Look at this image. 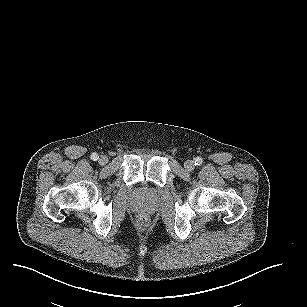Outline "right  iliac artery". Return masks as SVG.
<instances>
[{
	"label": "right iliac artery",
	"instance_id": "1",
	"mask_svg": "<svg viewBox=\"0 0 307 307\" xmlns=\"http://www.w3.org/2000/svg\"><path fill=\"white\" fill-rule=\"evenodd\" d=\"M91 159L94 160V161H97L99 159V156L97 155V153H93L91 155Z\"/></svg>",
	"mask_w": 307,
	"mask_h": 307
}]
</instances>
